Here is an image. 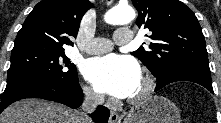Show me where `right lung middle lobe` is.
I'll return each mask as SVG.
<instances>
[{"label":"right lung middle lobe","mask_w":221,"mask_h":123,"mask_svg":"<svg viewBox=\"0 0 221 123\" xmlns=\"http://www.w3.org/2000/svg\"><path fill=\"white\" fill-rule=\"evenodd\" d=\"M76 77V66L71 64L64 50L31 48L11 52L7 83L29 78H39L48 83L67 82Z\"/></svg>","instance_id":"right-lung-middle-lobe-1"}]
</instances>
